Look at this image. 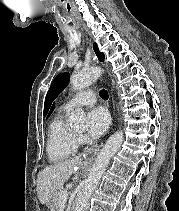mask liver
Masks as SVG:
<instances>
[{"instance_id":"liver-1","label":"liver","mask_w":179,"mask_h":211,"mask_svg":"<svg viewBox=\"0 0 179 211\" xmlns=\"http://www.w3.org/2000/svg\"><path fill=\"white\" fill-rule=\"evenodd\" d=\"M81 156L45 167L37 178V196L41 204L49 205L64 183L83 165Z\"/></svg>"}]
</instances>
